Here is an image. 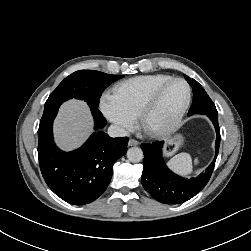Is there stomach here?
<instances>
[{"mask_svg":"<svg viewBox=\"0 0 251 251\" xmlns=\"http://www.w3.org/2000/svg\"><path fill=\"white\" fill-rule=\"evenodd\" d=\"M183 137L178 136L174 138H170L167 140L165 154L166 156L172 155L179 147L182 145Z\"/></svg>","mask_w":251,"mask_h":251,"instance_id":"0dacf381","label":"stomach"}]
</instances>
